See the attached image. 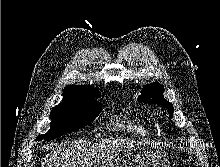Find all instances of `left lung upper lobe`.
<instances>
[{
	"instance_id": "1",
	"label": "left lung upper lobe",
	"mask_w": 220,
	"mask_h": 167,
	"mask_svg": "<svg viewBox=\"0 0 220 167\" xmlns=\"http://www.w3.org/2000/svg\"><path fill=\"white\" fill-rule=\"evenodd\" d=\"M164 91L163 85L157 82L145 85L142 88L141 95L138 97V101L163 106L168 110L170 117H172L174 108L172 104L164 98Z\"/></svg>"
}]
</instances>
